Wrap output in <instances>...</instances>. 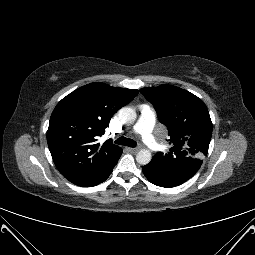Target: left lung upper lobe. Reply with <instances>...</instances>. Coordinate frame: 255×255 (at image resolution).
I'll return each mask as SVG.
<instances>
[{"instance_id": "5c2ea615", "label": "left lung upper lobe", "mask_w": 255, "mask_h": 255, "mask_svg": "<svg viewBox=\"0 0 255 255\" xmlns=\"http://www.w3.org/2000/svg\"><path fill=\"white\" fill-rule=\"evenodd\" d=\"M158 118L168 129L170 151L158 152L147 164L150 169L183 183L201 167L212 135V122L206 105L194 94L172 85L142 88Z\"/></svg>"}]
</instances>
